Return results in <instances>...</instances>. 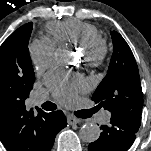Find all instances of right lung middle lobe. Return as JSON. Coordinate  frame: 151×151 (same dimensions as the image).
<instances>
[{"label": "right lung middle lobe", "mask_w": 151, "mask_h": 151, "mask_svg": "<svg viewBox=\"0 0 151 151\" xmlns=\"http://www.w3.org/2000/svg\"><path fill=\"white\" fill-rule=\"evenodd\" d=\"M33 24L13 32L0 46V94L30 93L35 81L28 42Z\"/></svg>", "instance_id": "obj_1"}]
</instances>
